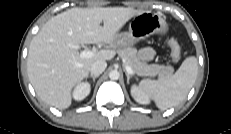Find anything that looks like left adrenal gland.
<instances>
[{"label": "left adrenal gland", "mask_w": 231, "mask_h": 134, "mask_svg": "<svg viewBox=\"0 0 231 134\" xmlns=\"http://www.w3.org/2000/svg\"><path fill=\"white\" fill-rule=\"evenodd\" d=\"M126 76H127V84H129V80L132 77V75H130L128 72H125Z\"/></svg>", "instance_id": "left-adrenal-gland-1"}]
</instances>
